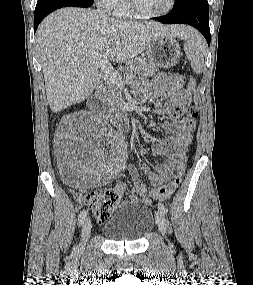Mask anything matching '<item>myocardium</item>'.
Returning a JSON list of instances; mask_svg holds the SVG:
<instances>
[{
	"instance_id": "myocardium-1",
	"label": "myocardium",
	"mask_w": 253,
	"mask_h": 285,
	"mask_svg": "<svg viewBox=\"0 0 253 285\" xmlns=\"http://www.w3.org/2000/svg\"><path fill=\"white\" fill-rule=\"evenodd\" d=\"M128 5H129L131 12L133 13V15L135 17L141 18V19H155V18H160L162 16L169 14L174 9V7L176 5V0H171L169 7L160 13H145V12H143L139 8L137 0H128Z\"/></svg>"
}]
</instances>
